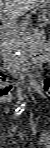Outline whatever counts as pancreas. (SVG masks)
Wrapping results in <instances>:
<instances>
[{"label": "pancreas", "mask_w": 50, "mask_h": 148, "mask_svg": "<svg viewBox=\"0 0 50 148\" xmlns=\"http://www.w3.org/2000/svg\"><path fill=\"white\" fill-rule=\"evenodd\" d=\"M43 31H36L33 35H28L26 32L25 24L20 25H8L3 30L4 36V49L3 61L7 64L8 67L17 69L15 64L18 62L15 59L16 52L20 51L24 53L28 50L29 47H32L33 44L29 43L32 41L30 39L37 40V44H42Z\"/></svg>", "instance_id": "cf45deb5"}]
</instances>
